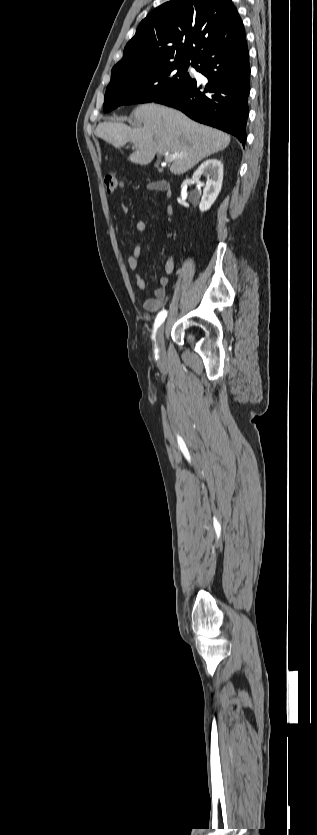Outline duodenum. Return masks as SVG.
I'll return each mask as SVG.
<instances>
[{
  "mask_svg": "<svg viewBox=\"0 0 317 835\" xmlns=\"http://www.w3.org/2000/svg\"><path fill=\"white\" fill-rule=\"evenodd\" d=\"M158 184H159V189L162 192H164L167 197H170L171 196V189H170L169 184L167 182H164V181H159Z\"/></svg>",
  "mask_w": 317,
  "mask_h": 835,
  "instance_id": "410a0bca",
  "label": "duodenum"
}]
</instances>
